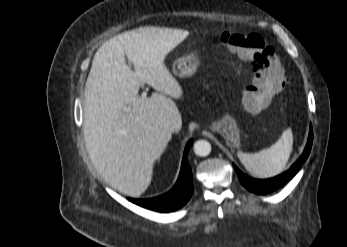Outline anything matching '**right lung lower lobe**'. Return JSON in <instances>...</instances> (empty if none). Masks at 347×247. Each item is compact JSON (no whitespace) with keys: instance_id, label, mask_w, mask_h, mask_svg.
<instances>
[{"instance_id":"obj_1","label":"right lung lower lobe","mask_w":347,"mask_h":247,"mask_svg":"<svg viewBox=\"0 0 347 247\" xmlns=\"http://www.w3.org/2000/svg\"><path fill=\"white\" fill-rule=\"evenodd\" d=\"M193 143L190 140L184 150L180 175L174 187L167 193L150 199H131L129 201L159 212H171L183 207L193 194L194 186L192 171L188 164L187 155Z\"/></svg>"}]
</instances>
